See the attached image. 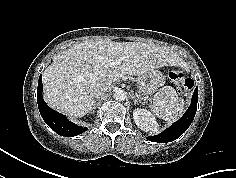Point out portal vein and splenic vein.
I'll list each match as a JSON object with an SVG mask.
<instances>
[{
	"label": "portal vein and splenic vein",
	"instance_id": "obj_1",
	"mask_svg": "<svg viewBox=\"0 0 236 178\" xmlns=\"http://www.w3.org/2000/svg\"><path fill=\"white\" fill-rule=\"evenodd\" d=\"M123 58L122 57H117L114 61L110 62L108 64L109 67H114V66H118L122 63Z\"/></svg>",
	"mask_w": 236,
	"mask_h": 178
}]
</instances>
